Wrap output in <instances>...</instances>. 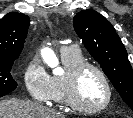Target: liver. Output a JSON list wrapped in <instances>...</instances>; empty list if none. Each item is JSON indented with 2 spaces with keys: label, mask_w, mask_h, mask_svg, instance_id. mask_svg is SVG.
I'll use <instances>...</instances> for the list:
<instances>
[{
  "label": "liver",
  "mask_w": 133,
  "mask_h": 118,
  "mask_svg": "<svg viewBox=\"0 0 133 118\" xmlns=\"http://www.w3.org/2000/svg\"><path fill=\"white\" fill-rule=\"evenodd\" d=\"M0 118H65V116L39 104L11 98L0 101Z\"/></svg>",
  "instance_id": "obj_1"
}]
</instances>
